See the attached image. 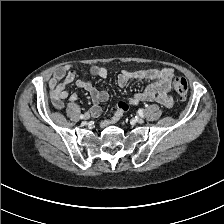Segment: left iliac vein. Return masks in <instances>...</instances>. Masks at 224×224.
Here are the masks:
<instances>
[{
	"instance_id": "4c4485c4",
	"label": "left iliac vein",
	"mask_w": 224,
	"mask_h": 224,
	"mask_svg": "<svg viewBox=\"0 0 224 224\" xmlns=\"http://www.w3.org/2000/svg\"><path fill=\"white\" fill-rule=\"evenodd\" d=\"M136 121H137V123H139V124H143V123H144V119L141 118V117H138V118L136 119Z\"/></svg>"
}]
</instances>
